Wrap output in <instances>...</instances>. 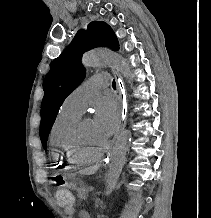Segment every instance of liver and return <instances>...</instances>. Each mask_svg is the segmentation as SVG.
Instances as JSON below:
<instances>
[{
    "label": "liver",
    "mask_w": 211,
    "mask_h": 218,
    "mask_svg": "<svg viewBox=\"0 0 211 218\" xmlns=\"http://www.w3.org/2000/svg\"><path fill=\"white\" fill-rule=\"evenodd\" d=\"M92 170H96V166H95V168H92Z\"/></svg>",
    "instance_id": "liver-1"
}]
</instances>
